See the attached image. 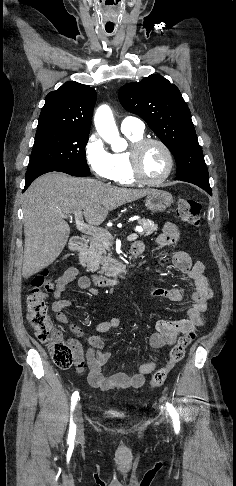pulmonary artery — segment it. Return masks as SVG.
<instances>
[{"label":"pulmonary artery","instance_id":"pulmonary-artery-1","mask_svg":"<svg viewBox=\"0 0 236 486\" xmlns=\"http://www.w3.org/2000/svg\"><path fill=\"white\" fill-rule=\"evenodd\" d=\"M120 127L122 132L143 133L145 124L137 117L127 116L122 120Z\"/></svg>","mask_w":236,"mask_h":486}]
</instances>
